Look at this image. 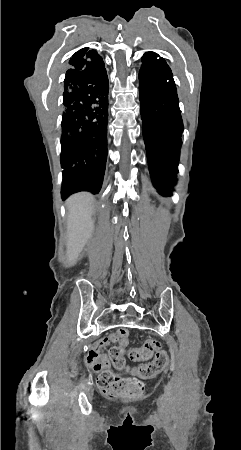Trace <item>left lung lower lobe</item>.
I'll return each mask as SVG.
<instances>
[{
  "mask_svg": "<svg viewBox=\"0 0 241 450\" xmlns=\"http://www.w3.org/2000/svg\"><path fill=\"white\" fill-rule=\"evenodd\" d=\"M139 96L152 182L159 193L167 195L177 174L183 122L172 71L154 52L142 57Z\"/></svg>",
  "mask_w": 241,
  "mask_h": 450,
  "instance_id": "0a47b994",
  "label": "left lung lower lobe"
}]
</instances>
